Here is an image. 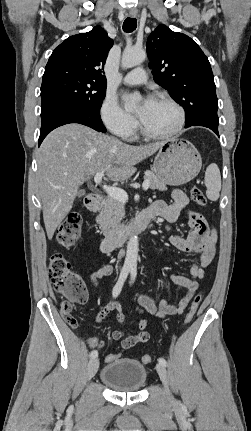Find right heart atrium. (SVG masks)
Returning a JSON list of instances; mask_svg holds the SVG:
<instances>
[{
	"label": "right heart atrium",
	"mask_w": 251,
	"mask_h": 431,
	"mask_svg": "<svg viewBox=\"0 0 251 431\" xmlns=\"http://www.w3.org/2000/svg\"><path fill=\"white\" fill-rule=\"evenodd\" d=\"M100 117L111 132L122 138L131 137L137 127L134 117L126 112L114 97L109 95L103 100Z\"/></svg>",
	"instance_id": "right-heart-atrium-1"
}]
</instances>
